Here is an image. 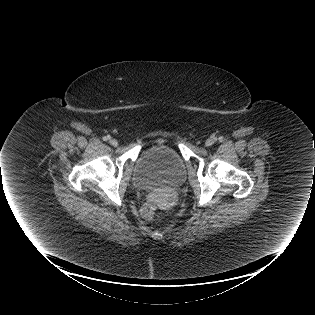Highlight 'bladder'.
<instances>
[{"mask_svg": "<svg viewBox=\"0 0 315 315\" xmlns=\"http://www.w3.org/2000/svg\"><path fill=\"white\" fill-rule=\"evenodd\" d=\"M185 175V165L178 152L168 145H155L138 159L133 182L140 189L174 187L184 181Z\"/></svg>", "mask_w": 315, "mask_h": 315, "instance_id": "bladder-1", "label": "bladder"}]
</instances>
